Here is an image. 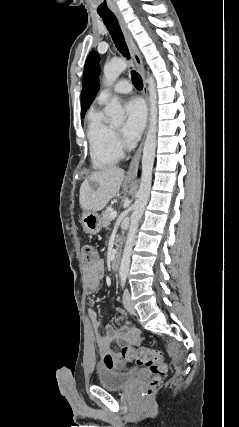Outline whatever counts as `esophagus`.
I'll return each mask as SVG.
<instances>
[{
    "instance_id": "1",
    "label": "esophagus",
    "mask_w": 239,
    "mask_h": 427,
    "mask_svg": "<svg viewBox=\"0 0 239 427\" xmlns=\"http://www.w3.org/2000/svg\"><path fill=\"white\" fill-rule=\"evenodd\" d=\"M117 20L119 22V25L121 27V30L124 34L127 46L129 48V51L131 53V56L136 64V67L141 75V78L143 80V95L147 104V108H148V119H149V101H148V88H147V83H146V78H145V74H144V66H143V60H142V56L139 52V50L137 49L132 35L128 29V26L122 16V14L120 12H116L115 13ZM148 122V120H147ZM148 126V123H147ZM147 131V129H146ZM146 135V132H145ZM144 140H145V136L140 144V146L138 147L126 174V178L127 179H134L137 173V169H138V165H139V161L142 155V149H143V145H144Z\"/></svg>"
}]
</instances>
